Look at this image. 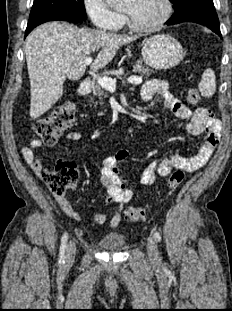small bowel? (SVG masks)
Masks as SVG:
<instances>
[{"label":"small bowel","mask_w":232,"mask_h":311,"mask_svg":"<svg viewBox=\"0 0 232 311\" xmlns=\"http://www.w3.org/2000/svg\"><path fill=\"white\" fill-rule=\"evenodd\" d=\"M155 96H159L164 106L179 118H189L186 131L191 135H205L204 141L196 155L184 157L174 154L161 161H153L142 172L140 182L144 186L152 185L157 176L167 177L174 169H182L186 172H194L203 167L214 149L217 147L221 137V123L213 118L211 112L205 107H197L190 110L184 103L175 97L164 80L153 79L145 82L141 88V97L144 101L150 102ZM78 131H71L64 137L66 141L76 142L82 139ZM44 146L38 139L21 148L22 156L33 172L45 180V171L42 162L36 157L35 151ZM129 155L127 149H120L115 154L106 157L101 169L100 183L106 190L105 201L108 204L117 203L121 207L128 203L133 196L128 188L129 181L121 174L120 166ZM55 200L62 211L76 221H82L83 216L77 212L64 195L54 194ZM109 219L105 213H98L93 216L96 224L105 223ZM121 221V209L109 220V228H116Z\"/></svg>","instance_id":"c3829d8e"}]
</instances>
